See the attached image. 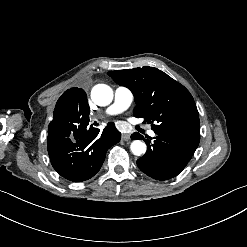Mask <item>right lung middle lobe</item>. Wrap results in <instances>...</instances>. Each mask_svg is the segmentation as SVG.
Returning <instances> with one entry per match:
<instances>
[{"label":"right lung middle lobe","mask_w":247,"mask_h":247,"mask_svg":"<svg viewBox=\"0 0 247 247\" xmlns=\"http://www.w3.org/2000/svg\"><path fill=\"white\" fill-rule=\"evenodd\" d=\"M87 95L81 88L66 90L56 103L48 135L62 136L79 122L89 118Z\"/></svg>","instance_id":"1"}]
</instances>
